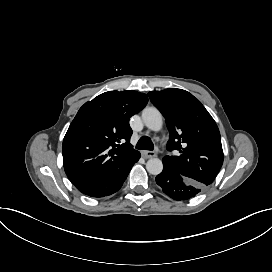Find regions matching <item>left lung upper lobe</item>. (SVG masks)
<instances>
[{"label": "left lung upper lobe", "instance_id": "5c2ea615", "mask_svg": "<svg viewBox=\"0 0 272 272\" xmlns=\"http://www.w3.org/2000/svg\"><path fill=\"white\" fill-rule=\"evenodd\" d=\"M166 119L170 132L168 150L178 156H165L163 164L203 186L210 185L223 163L219 129L202 105L189 92L170 88L148 93Z\"/></svg>", "mask_w": 272, "mask_h": 272}]
</instances>
